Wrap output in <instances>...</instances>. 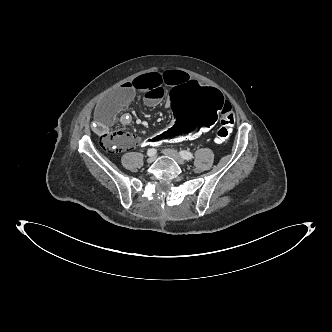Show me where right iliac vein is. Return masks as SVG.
Segmentation results:
<instances>
[{"instance_id": "obj_1", "label": "right iliac vein", "mask_w": 332, "mask_h": 332, "mask_svg": "<svg viewBox=\"0 0 332 332\" xmlns=\"http://www.w3.org/2000/svg\"><path fill=\"white\" fill-rule=\"evenodd\" d=\"M155 160H156V156L153 155V156H149V157H148L147 162H148V163H153Z\"/></svg>"}]
</instances>
